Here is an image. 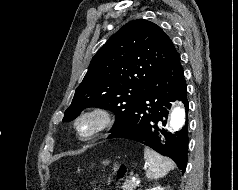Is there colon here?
I'll return each mask as SVG.
<instances>
[{"instance_id":"5ec220e1","label":"colon","mask_w":238,"mask_h":190,"mask_svg":"<svg viewBox=\"0 0 238 190\" xmlns=\"http://www.w3.org/2000/svg\"><path fill=\"white\" fill-rule=\"evenodd\" d=\"M114 172L119 178H123L127 173V168L123 164H117L114 166Z\"/></svg>"}]
</instances>
